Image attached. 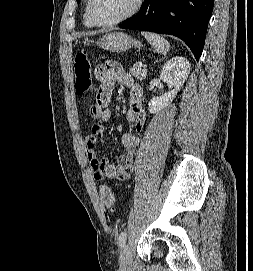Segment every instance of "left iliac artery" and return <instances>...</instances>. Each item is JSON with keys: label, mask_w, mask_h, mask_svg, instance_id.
Segmentation results:
<instances>
[{"label": "left iliac artery", "mask_w": 253, "mask_h": 271, "mask_svg": "<svg viewBox=\"0 0 253 271\" xmlns=\"http://www.w3.org/2000/svg\"><path fill=\"white\" fill-rule=\"evenodd\" d=\"M126 236H127V234H126L125 231L122 232V233L119 235L118 241H119V246H120V247H123V246H124V244H125V242H126Z\"/></svg>", "instance_id": "obj_1"}]
</instances>
